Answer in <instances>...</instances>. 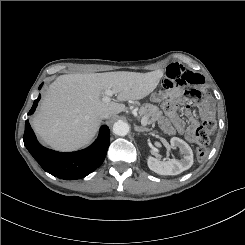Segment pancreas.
<instances>
[{
  "label": "pancreas",
  "instance_id": "obj_1",
  "mask_svg": "<svg viewBox=\"0 0 245 245\" xmlns=\"http://www.w3.org/2000/svg\"><path fill=\"white\" fill-rule=\"evenodd\" d=\"M139 114L142 118L147 120V124L154 125L155 122L161 117L162 112L157 106L146 104L140 108Z\"/></svg>",
  "mask_w": 245,
  "mask_h": 245
}]
</instances>
